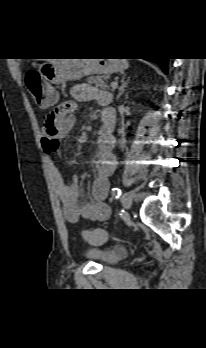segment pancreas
Wrapping results in <instances>:
<instances>
[{"label":"pancreas","instance_id":"cf45deb5","mask_svg":"<svg viewBox=\"0 0 206 348\" xmlns=\"http://www.w3.org/2000/svg\"><path fill=\"white\" fill-rule=\"evenodd\" d=\"M107 76H90L86 79V82L90 85H94L96 88H100L102 90L109 89L107 85Z\"/></svg>","mask_w":206,"mask_h":348}]
</instances>
